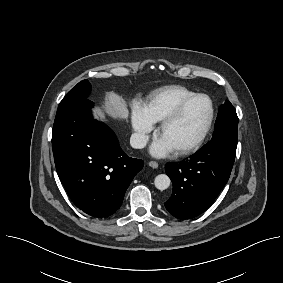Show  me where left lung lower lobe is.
Wrapping results in <instances>:
<instances>
[{"label":"left lung lower lobe","mask_w":283,"mask_h":283,"mask_svg":"<svg viewBox=\"0 0 283 283\" xmlns=\"http://www.w3.org/2000/svg\"><path fill=\"white\" fill-rule=\"evenodd\" d=\"M235 155L236 150L209 143L189 160L167 164L173 192L164 203L166 209L179 219H191L207 210L226 185Z\"/></svg>","instance_id":"obj_1"}]
</instances>
